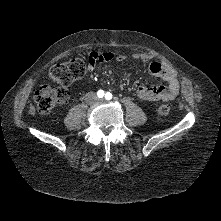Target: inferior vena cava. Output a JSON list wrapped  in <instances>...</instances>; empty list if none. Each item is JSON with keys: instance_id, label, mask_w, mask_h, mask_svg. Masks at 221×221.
<instances>
[{"instance_id": "inferior-vena-cava-1", "label": "inferior vena cava", "mask_w": 221, "mask_h": 221, "mask_svg": "<svg viewBox=\"0 0 221 221\" xmlns=\"http://www.w3.org/2000/svg\"><path fill=\"white\" fill-rule=\"evenodd\" d=\"M89 95H90V96H93V97H95V98H96L95 94H93V93H90Z\"/></svg>"}]
</instances>
